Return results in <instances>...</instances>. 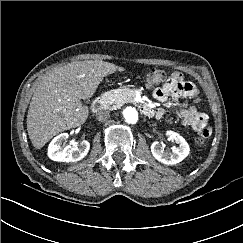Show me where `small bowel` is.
<instances>
[{
	"instance_id": "c3829d8e",
	"label": "small bowel",
	"mask_w": 243,
	"mask_h": 243,
	"mask_svg": "<svg viewBox=\"0 0 243 243\" xmlns=\"http://www.w3.org/2000/svg\"><path fill=\"white\" fill-rule=\"evenodd\" d=\"M153 97L160 102L167 100L176 101L180 98H193L198 100L199 92L194 84L186 81L183 74L173 72L168 79L159 87H156L152 93ZM166 114L164 108H158L155 115L157 118H162ZM182 122L185 126L192 128L205 138L212 133L210 126L207 123V115L198 111L194 106H184L180 110Z\"/></svg>"
}]
</instances>
